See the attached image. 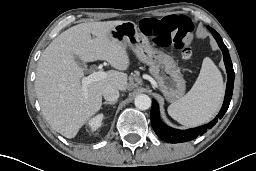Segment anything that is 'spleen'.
<instances>
[{"label":"spleen","instance_id":"1","mask_svg":"<svg viewBox=\"0 0 256 171\" xmlns=\"http://www.w3.org/2000/svg\"><path fill=\"white\" fill-rule=\"evenodd\" d=\"M223 95L222 75L213 61L206 57L193 87L168 107V114L185 126L204 123L218 112Z\"/></svg>","mask_w":256,"mask_h":171}]
</instances>
